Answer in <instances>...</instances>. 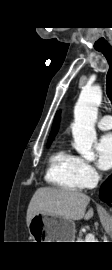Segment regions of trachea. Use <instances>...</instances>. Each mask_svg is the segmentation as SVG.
Listing matches in <instances>:
<instances>
[{
	"mask_svg": "<svg viewBox=\"0 0 112 270\" xmlns=\"http://www.w3.org/2000/svg\"><path fill=\"white\" fill-rule=\"evenodd\" d=\"M102 52L109 64V70L107 73L106 93L112 104V47L97 49Z\"/></svg>",
	"mask_w": 112,
	"mask_h": 270,
	"instance_id": "obj_1",
	"label": "trachea"
}]
</instances>
